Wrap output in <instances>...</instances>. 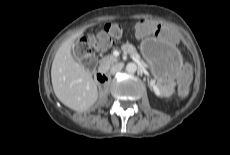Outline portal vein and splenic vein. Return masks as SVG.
<instances>
[{"instance_id": "1", "label": "portal vein and splenic vein", "mask_w": 230, "mask_h": 155, "mask_svg": "<svg viewBox=\"0 0 230 155\" xmlns=\"http://www.w3.org/2000/svg\"><path fill=\"white\" fill-rule=\"evenodd\" d=\"M135 61H139L138 58L135 57ZM156 91H157L158 94L160 93L158 89H156Z\"/></svg>"}]
</instances>
